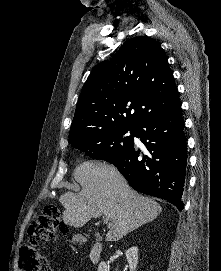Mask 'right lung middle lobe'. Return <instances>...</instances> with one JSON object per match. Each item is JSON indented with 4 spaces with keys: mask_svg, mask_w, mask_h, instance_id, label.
Masks as SVG:
<instances>
[{
    "mask_svg": "<svg viewBox=\"0 0 221 271\" xmlns=\"http://www.w3.org/2000/svg\"><path fill=\"white\" fill-rule=\"evenodd\" d=\"M135 131L136 127L115 126L69 143L94 159L113 163L133 146ZM127 132H130L131 136L123 137Z\"/></svg>",
    "mask_w": 221,
    "mask_h": 271,
    "instance_id": "obj_1",
    "label": "right lung middle lobe"
}]
</instances>
